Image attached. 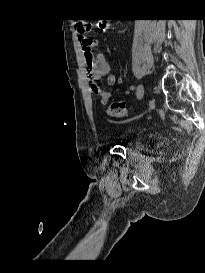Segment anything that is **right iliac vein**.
I'll return each instance as SVG.
<instances>
[{
  "label": "right iliac vein",
  "mask_w": 205,
  "mask_h": 273,
  "mask_svg": "<svg viewBox=\"0 0 205 273\" xmlns=\"http://www.w3.org/2000/svg\"><path fill=\"white\" fill-rule=\"evenodd\" d=\"M143 95H144V86L143 84H140L136 90V97L137 99H141Z\"/></svg>",
  "instance_id": "63e3f726"
}]
</instances>
